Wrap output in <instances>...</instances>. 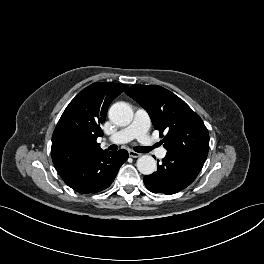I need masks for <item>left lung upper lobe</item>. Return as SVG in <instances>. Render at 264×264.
Here are the masks:
<instances>
[{
  "instance_id": "5c2ea615",
  "label": "left lung upper lobe",
  "mask_w": 264,
  "mask_h": 264,
  "mask_svg": "<svg viewBox=\"0 0 264 264\" xmlns=\"http://www.w3.org/2000/svg\"><path fill=\"white\" fill-rule=\"evenodd\" d=\"M126 93L148 112L168 153L205 163L209 150L208 130L183 100L161 86L133 85Z\"/></svg>"
}]
</instances>
